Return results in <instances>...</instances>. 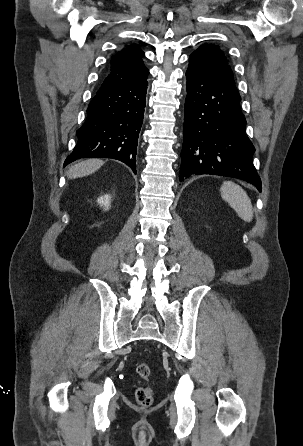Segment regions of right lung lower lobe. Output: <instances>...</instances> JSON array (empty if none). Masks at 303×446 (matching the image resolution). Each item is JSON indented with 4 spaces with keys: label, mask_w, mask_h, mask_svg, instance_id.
I'll list each match as a JSON object with an SVG mask.
<instances>
[{
    "label": "right lung lower lobe",
    "mask_w": 303,
    "mask_h": 446,
    "mask_svg": "<svg viewBox=\"0 0 303 446\" xmlns=\"http://www.w3.org/2000/svg\"><path fill=\"white\" fill-rule=\"evenodd\" d=\"M147 75L100 89L90 102L78 142L64 166L79 158H113L136 173L138 137L146 103Z\"/></svg>",
    "instance_id": "98d812e1"
}]
</instances>
